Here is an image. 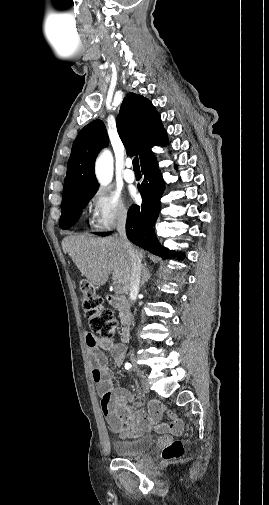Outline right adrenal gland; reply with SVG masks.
Masks as SVG:
<instances>
[{"mask_svg": "<svg viewBox=\"0 0 269 505\" xmlns=\"http://www.w3.org/2000/svg\"><path fill=\"white\" fill-rule=\"evenodd\" d=\"M151 277V273L147 267V263L145 262L144 263V266H143V275H142V281H141V287L144 286L145 282H147Z\"/></svg>", "mask_w": 269, "mask_h": 505, "instance_id": "2a0ac1e0", "label": "right adrenal gland"}]
</instances>
